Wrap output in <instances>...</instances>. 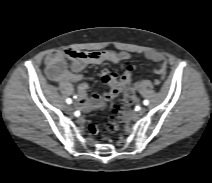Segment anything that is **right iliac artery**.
I'll return each mask as SVG.
<instances>
[{
  "label": "right iliac artery",
  "mask_w": 212,
  "mask_h": 183,
  "mask_svg": "<svg viewBox=\"0 0 212 183\" xmlns=\"http://www.w3.org/2000/svg\"><path fill=\"white\" fill-rule=\"evenodd\" d=\"M66 102H67V104H71L72 103V100L70 98H67L66 99Z\"/></svg>",
  "instance_id": "82829eb1"
}]
</instances>
